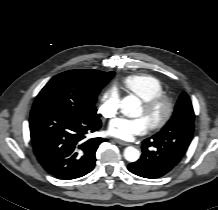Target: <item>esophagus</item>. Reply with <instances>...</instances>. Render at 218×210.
Instances as JSON below:
<instances>
[{
	"mask_svg": "<svg viewBox=\"0 0 218 210\" xmlns=\"http://www.w3.org/2000/svg\"><path fill=\"white\" fill-rule=\"evenodd\" d=\"M115 142L122 145V146L130 145L128 142H125V141H122V140H119V139H115Z\"/></svg>",
	"mask_w": 218,
	"mask_h": 210,
	"instance_id": "obj_1",
	"label": "esophagus"
}]
</instances>
